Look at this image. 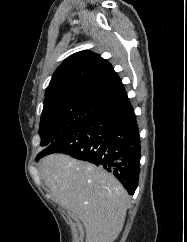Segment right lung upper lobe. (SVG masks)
Here are the masks:
<instances>
[{"label": "right lung upper lobe", "instance_id": "cb5924a9", "mask_svg": "<svg viewBox=\"0 0 187 242\" xmlns=\"http://www.w3.org/2000/svg\"><path fill=\"white\" fill-rule=\"evenodd\" d=\"M126 95L121 79L107 60L80 51L65 59L53 74L42 112L73 103L105 107Z\"/></svg>", "mask_w": 187, "mask_h": 242}]
</instances>
